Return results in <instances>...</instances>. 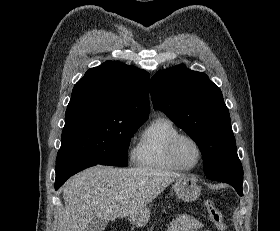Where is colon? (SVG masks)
Wrapping results in <instances>:
<instances>
[{
    "label": "colon",
    "instance_id": "colon-1",
    "mask_svg": "<svg viewBox=\"0 0 280 231\" xmlns=\"http://www.w3.org/2000/svg\"><path fill=\"white\" fill-rule=\"evenodd\" d=\"M205 206L211 222L216 227L217 231H225L226 225L223 219V215L219 208L212 202L206 201Z\"/></svg>",
    "mask_w": 280,
    "mask_h": 231
}]
</instances>
